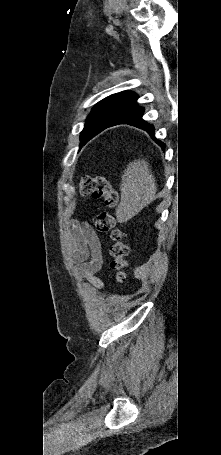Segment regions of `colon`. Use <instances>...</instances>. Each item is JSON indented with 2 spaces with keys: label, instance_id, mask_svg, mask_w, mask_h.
Wrapping results in <instances>:
<instances>
[{
  "label": "colon",
  "instance_id": "5ec220e1",
  "mask_svg": "<svg viewBox=\"0 0 221 455\" xmlns=\"http://www.w3.org/2000/svg\"><path fill=\"white\" fill-rule=\"evenodd\" d=\"M79 192L83 196H91L95 199H102L107 207L113 208L117 205L119 195L111 186L107 178L103 176H83L79 181ZM96 229L99 232L112 231L111 246L112 267L118 272V279L124 281L127 277L125 270L128 255V247L125 243V233L120 229H114L115 216L111 212H101L95 219Z\"/></svg>",
  "mask_w": 221,
  "mask_h": 455
}]
</instances>
